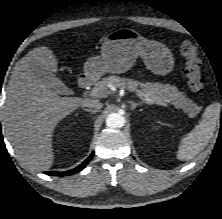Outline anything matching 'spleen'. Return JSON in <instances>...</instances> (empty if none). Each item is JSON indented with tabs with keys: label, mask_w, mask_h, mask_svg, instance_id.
<instances>
[{
	"label": "spleen",
	"mask_w": 222,
	"mask_h": 219,
	"mask_svg": "<svg viewBox=\"0 0 222 219\" xmlns=\"http://www.w3.org/2000/svg\"><path fill=\"white\" fill-rule=\"evenodd\" d=\"M221 104L214 102L206 107L199 124L181 141L178 148L179 160H190L199 154L214 135L220 118Z\"/></svg>",
	"instance_id": "3e777b00"
}]
</instances>
